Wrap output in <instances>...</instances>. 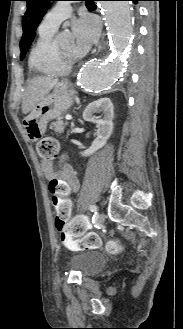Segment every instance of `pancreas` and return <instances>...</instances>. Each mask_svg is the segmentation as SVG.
Segmentation results:
<instances>
[{
    "label": "pancreas",
    "mask_w": 183,
    "mask_h": 329,
    "mask_svg": "<svg viewBox=\"0 0 183 329\" xmlns=\"http://www.w3.org/2000/svg\"><path fill=\"white\" fill-rule=\"evenodd\" d=\"M67 122L63 121L61 118H59L56 122H53L52 125L54 127V130L58 134H62L64 132L65 126H67Z\"/></svg>",
    "instance_id": "cf45deb5"
}]
</instances>
